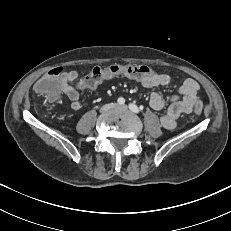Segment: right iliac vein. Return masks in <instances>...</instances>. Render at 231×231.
Returning <instances> with one entry per match:
<instances>
[{
  "label": "right iliac vein",
  "instance_id": "obj_1",
  "mask_svg": "<svg viewBox=\"0 0 231 231\" xmlns=\"http://www.w3.org/2000/svg\"><path fill=\"white\" fill-rule=\"evenodd\" d=\"M116 105L115 104H106V105H104L101 109H100V111L102 112V113H105V112H107L108 110H110L111 108H114Z\"/></svg>",
  "mask_w": 231,
  "mask_h": 231
}]
</instances>
